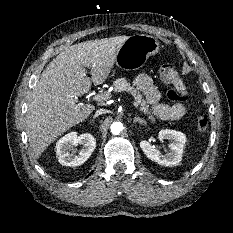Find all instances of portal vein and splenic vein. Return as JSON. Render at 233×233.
<instances>
[{
	"instance_id": "portal-vein-and-splenic-vein-1",
	"label": "portal vein and splenic vein",
	"mask_w": 233,
	"mask_h": 233,
	"mask_svg": "<svg viewBox=\"0 0 233 233\" xmlns=\"http://www.w3.org/2000/svg\"><path fill=\"white\" fill-rule=\"evenodd\" d=\"M112 97L111 93H101V94H97V95H94L92 97V100L93 101H97V102H102V101H106L108 99H110ZM133 105L137 108L138 107V104L137 102L133 101Z\"/></svg>"
}]
</instances>
